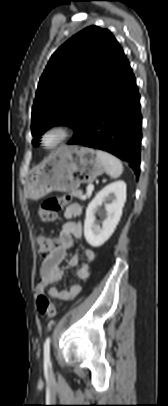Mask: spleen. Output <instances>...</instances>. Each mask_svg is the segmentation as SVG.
Listing matches in <instances>:
<instances>
[{"label":"spleen","mask_w":168,"mask_h":406,"mask_svg":"<svg viewBox=\"0 0 168 406\" xmlns=\"http://www.w3.org/2000/svg\"><path fill=\"white\" fill-rule=\"evenodd\" d=\"M96 154L99 160L101 161L105 169V172L111 178H118L122 174L123 166L119 159L101 150H97Z\"/></svg>","instance_id":"1"}]
</instances>
